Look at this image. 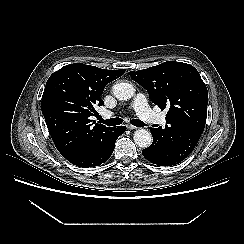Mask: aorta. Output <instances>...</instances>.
<instances>
[{"label": "aorta", "instance_id": "aorta-1", "mask_svg": "<svg viewBox=\"0 0 244 244\" xmlns=\"http://www.w3.org/2000/svg\"><path fill=\"white\" fill-rule=\"evenodd\" d=\"M113 95L118 100H129L135 93V88L130 83H118L112 87ZM134 142L141 148H147L152 144V135L146 129H138L134 132Z\"/></svg>", "mask_w": 244, "mask_h": 244}]
</instances>
